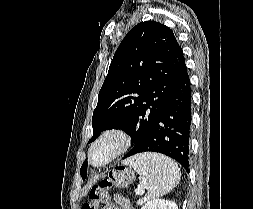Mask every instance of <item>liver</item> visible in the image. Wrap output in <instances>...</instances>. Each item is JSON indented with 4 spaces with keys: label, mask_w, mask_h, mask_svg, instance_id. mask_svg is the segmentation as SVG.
<instances>
[{
    "label": "liver",
    "mask_w": 253,
    "mask_h": 209,
    "mask_svg": "<svg viewBox=\"0 0 253 209\" xmlns=\"http://www.w3.org/2000/svg\"><path fill=\"white\" fill-rule=\"evenodd\" d=\"M99 179V175H95L90 182L83 188L82 195L85 196L89 190Z\"/></svg>",
    "instance_id": "obj_1"
}]
</instances>
